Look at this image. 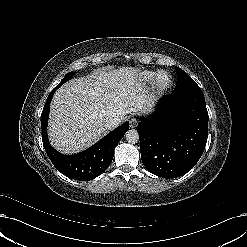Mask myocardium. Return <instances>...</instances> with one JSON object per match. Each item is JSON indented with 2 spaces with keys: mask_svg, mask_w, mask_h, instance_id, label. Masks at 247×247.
Returning a JSON list of instances; mask_svg holds the SVG:
<instances>
[{
  "mask_svg": "<svg viewBox=\"0 0 247 247\" xmlns=\"http://www.w3.org/2000/svg\"><path fill=\"white\" fill-rule=\"evenodd\" d=\"M172 80L168 73L159 72L153 82V90L163 92L171 86Z\"/></svg>",
  "mask_w": 247,
  "mask_h": 247,
  "instance_id": "f54148a6",
  "label": "myocardium"
}]
</instances>
